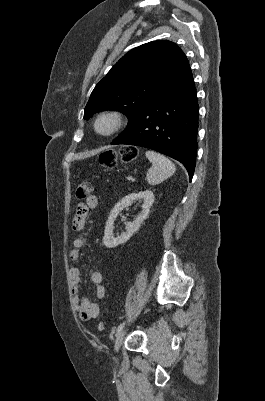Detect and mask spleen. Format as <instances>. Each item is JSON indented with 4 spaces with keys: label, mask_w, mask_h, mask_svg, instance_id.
Listing matches in <instances>:
<instances>
[{
    "label": "spleen",
    "mask_w": 265,
    "mask_h": 401,
    "mask_svg": "<svg viewBox=\"0 0 265 401\" xmlns=\"http://www.w3.org/2000/svg\"><path fill=\"white\" fill-rule=\"evenodd\" d=\"M145 156L153 164L146 174L148 184H153V186L154 184H160V182H163V180L174 174L176 170L175 164L169 158L163 156V154L154 152V150H146Z\"/></svg>",
    "instance_id": "3e777b00"
}]
</instances>
